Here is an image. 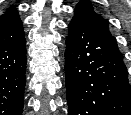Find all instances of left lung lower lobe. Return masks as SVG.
<instances>
[{"label":"left lung lower lobe","instance_id":"left-lung-lower-lobe-1","mask_svg":"<svg viewBox=\"0 0 131 115\" xmlns=\"http://www.w3.org/2000/svg\"><path fill=\"white\" fill-rule=\"evenodd\" d=\"M68 28V115H131V86L119 49L79 18Z\"/></svg>","mask_w":131,"mask_h":115}]
</instances>
